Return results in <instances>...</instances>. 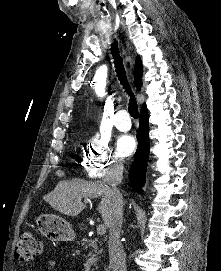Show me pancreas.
Returning a JSON list of instances; mask_svg holds the SVG:
<instances>
[{"mask_svg": "<svg viewBox=\"0 0 221 271\" xmlns=\"http://www.w3.org/2000/svg\"><path fill=\"white\" fill-rule=\"evenodd\" d=\"M79 245H85V247H88V245H92L94 247V253H92L91 257H88L86 263H84V269L85 271H92L93 263H96L99 253H103V247H98L97 243H88L87 237H79Z\"/></svg>", "mask_w": 221, "mask_h": 271, "instance_id": "obj_1", "label": "pancreas"}]
</instances>
